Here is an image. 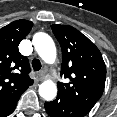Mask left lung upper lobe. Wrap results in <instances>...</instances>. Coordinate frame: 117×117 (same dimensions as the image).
Returning <instances> with one entry per match:
<instances>
[{"instance_id":"obj_1","label":"left lung upper lobe","mask_w":117,"mask_h":117,"mask_svg":"<svg viewBox=\"0 0 117 117\" xmlns=\"http://www.w3.org/2000/svg\"><path fill=\"white\" fill-rule=\"evenodd\" d=\"M62 48L61 76L68 83L58 82V95L87 112L102 96L106 67L99 49L81 32L69 25L51 26Z\"/></svg>"}]
</instances>
